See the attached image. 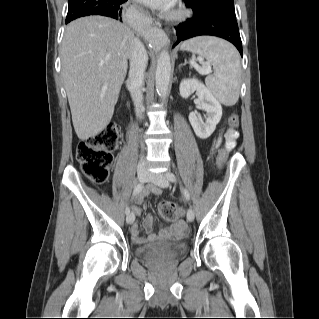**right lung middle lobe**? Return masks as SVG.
Wrapping results in <instances>:
<instances>
[{
  "instance_id": "1",
  "label": "right lung middle lobe",
  "mask_w": 319,
  "mask_h": 319,
  "mask_svg": "<svg viewBox=\"0 0 319 319\" xmlns=\"http://www.w3.org/2000/svg\"><path fill=\"white\" fill-rule=\"evenodd\" d=\"M110 2H112V0H68V14L66 20H74L78 17V14L87 12L98 5Z\"/></svg>"
}]
</instances>
